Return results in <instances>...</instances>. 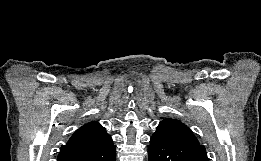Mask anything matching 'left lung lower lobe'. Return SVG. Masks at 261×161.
I'll return each instance as SVG.
<instances>
[{
	"label": "left lung lower lobe",
	"mask_w": 261,
	"mask_h": 161,
	"mask_svg": "<svg viewBox=\"0 0 261 161\" xmlns=\"http://www.w3.org/2000/svg\"><path fill=\"white\" fill-rule=\"evenodd\" d=\"M149 161H208L203 145L185 144L153 134L148 145Z\"/></svg>",
	"instance_id": "left-lung-lower-lobe-1"
}]
</instances>
